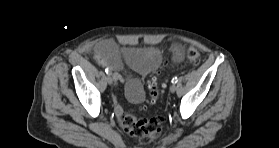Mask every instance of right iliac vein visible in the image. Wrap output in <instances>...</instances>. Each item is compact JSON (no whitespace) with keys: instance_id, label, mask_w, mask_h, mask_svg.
Returning <instances> with one entry per match:
<instances>
[{"instance_id":"63e3f726","label":"right iliac vein","mask_w":279,"mask_h":148,"mask_svg":"<svg viewBox=\"0 0 279 148\" xmlns=\"http://www.w3.org/2000/svg\"><path fill=\"white\" fill-rule=\"evenodd\" d=\"M106 81H107V83H108L109 85H111V84L113 83V79H112L111 75H108V76L106 77Z\"/></svg>"}]
</instances>
